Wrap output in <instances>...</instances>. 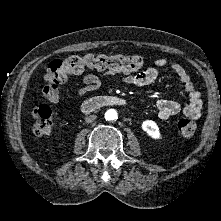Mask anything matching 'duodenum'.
Listing matches in <instances>:
<instances>
[{"label": "duodenum", "mask_w": 221, "mask_h": 221, "mask_svg": "<svg viewBox=\"0 0 221 221\" xmlns=\"http://www.w3.org/2000/svg\"><path fill=\"white\" fill-rule=\"evenodd\" d=\"M129 102L119 96H98L84 102L82 108L86 113L102 109L110 105L127 106Z\"/></svg>", "instance_id": "410a0bca"}]
</instances>
